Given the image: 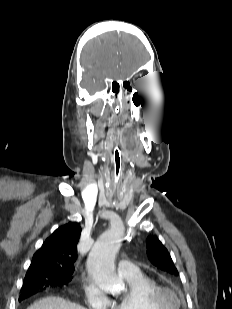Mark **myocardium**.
Segmentation results:
<instances>
[{
    "label": "myocardium",
    "instance_id": "f54148a6",
    "mask_svg": "<svg viewBox=\"0 0 232 309\" xmlns=\"http://www.w3.org/2000/svg\"><path fill=\"white\" fill-rule=\"evenodd\" d=\"M148 300L155 309H180L182 301L173 289L156 286L148 295Z\"/></svg>",
    "mask_w": 232,
    "mask_h": 309
}]
</instances>
